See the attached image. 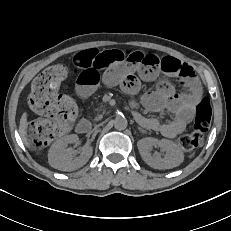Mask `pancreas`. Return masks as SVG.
<instances>
[{"label":"pancreas","instance_id":"cf45deb5","mask_svg":"<svg viewBox=\"0 0 231 231\" xmlns=\"http://www.w3.org/2000/svg\"><path fill=\"white\" fill-rule=\"evenodd\" d=\"M103 117L102 114L98 115L97 119H101Z\"/></svg>","mask_w":231,"mask_h":231}]
</instances>
